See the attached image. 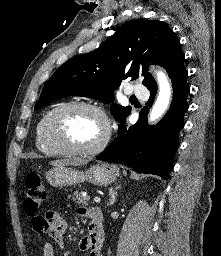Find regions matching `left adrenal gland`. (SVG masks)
I'll return each instance as SVG.
<instances>
[{"label": "left adrenal gland", "mask_w": 221, "mask_h": 256, "mask_svg": "<svg viewBox=\"0 0 221 256\" xmlns=\"http://www.w3.org/2000/svg\"><path fill=\"white\" fill-rule=\"evenodd\" d=\"M109 195H110V199H109L107 206H112L115 203L116 198H117L116 188L115 189L111 188L109 191Z\"/></svg>", "instance_id": "left-adrenal-gland-1"}]
</instances>
